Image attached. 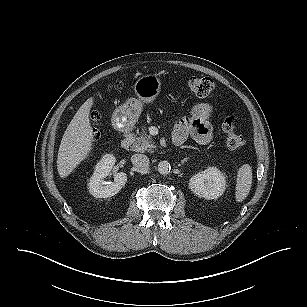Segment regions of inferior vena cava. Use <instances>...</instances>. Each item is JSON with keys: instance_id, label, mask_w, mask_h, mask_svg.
<instances>
[{"instance_id": "602c4592", "label": "inferior vena cava", "mask_w": 307, "mask_h": 307, "mask_svg": "<svg viewBox=\"0 0 307 307\" xmlns=\"http://www.w3.org/2000/svg\"><path fill=\"white\" fill-rule=\"evenodd\" d=\"M131 162L135 167L141 170H145L149 168V158L144 154L132 155Z\"/></svg>"}]
</instances>
